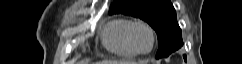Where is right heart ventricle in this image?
I'll return each instance as SVG.
<instances>
[{
	"instance_id": "right-heart-ventricle-1",
	"label": "right heart ventricle",
	"mask_w": 242,
	"mask_h": 64,
	"mask_svg": "<svg viewBox=\"0 0 242 64\" xmlns=\"http://www.w3.org/2000/svg\"><path fill=\"white\" fill-rule=\"evenodd\" d=\"M132 20L117 18L110 21L103 31V45L111 52L120 57L132 58L137 54L127 41V29Z\"/></svg>"
}]
</instances>
